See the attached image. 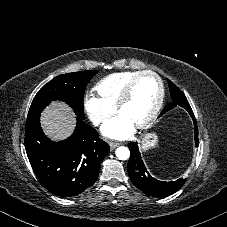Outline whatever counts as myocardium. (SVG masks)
<instances>
[{
    "label": "myocardium",
    "mask_w": 227,
    "mask_h": 227,
    "mask_svg": "<svg viewBox=\"0 0 227 227\" xmlns=\"http://www.w3.org/2000/svg\"><path fill=\"white\" fill-rule=\"evenodd\" d=\"M143 75H151L157 80L158 86H159V93H158V97L155 102V105H154L153 109L151 110L150 114L148 115V117L144 121L135 125L136 128H138V129H143V128H146L149 125H151L160 112V109L162 107L163 100H164V95H165L164 83H163L162 78L155 71H152V70H142V71L137 72L129 80V82L127 83L125 89L123 90L122 94L120 95V97L115 105L117 112L120 113V110L123 107V105L131 98L137 81Z\"/></svg>",
    "instance_id": "myocardium-1"
}]
</instances>
